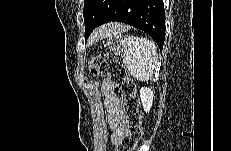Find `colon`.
<instances>
[{
    "mask_svg": "<svg viewBox=\"0 0 231 151\" xmlns=\"http://www.w3.org/2000/svg\"><path fill=\"white\" fill-rule=\"evenodd\" d=\"M90 70L94 75H105L109 78L113 95L119 101L127 129L117 141L116 151L134 150L142 136V113L134 82L122 63L111 54L95 56L90 63Z\"/></svg>",
    "mask_w": 231,
    "mask_h": 151,
    "instance_id": "5ec220e1",
    "label": "colon"
}]
</instances>
